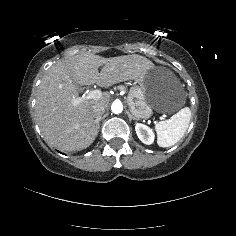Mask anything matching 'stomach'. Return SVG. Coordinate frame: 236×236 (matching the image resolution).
Masks as SVG:
<instances>
[{
	"label": "stomach",
	"instance_id": "obj_1",
	"mask_svg": "<svg viewBox=\"0 0 236 236\" xmlns=\"http://www.w3.org/2000/svg\"><path fill=\"white\" fill-rule=\"evenodd\" d=\"M127 101L135 118L146 119L153 110L164 114L178 111L185 104L186 94L172 72L155 67L131 87Z\"/></svg>",
	"mask_w": 236,
	"mask_h": 236
}]
</instances>
